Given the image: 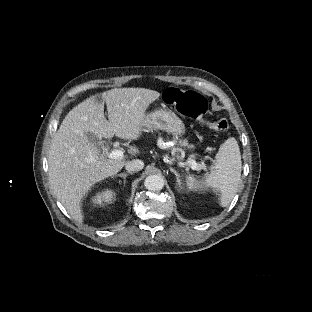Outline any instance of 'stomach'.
Masks as SVG:
<instances>
[{
  "instance_id": "obj_1",
  "label": "stomach",
  "mask_w": 312,
  "mask_h": 312,
  "mask_svg": "<svg viewBox=\"0 0 312 312\" xmlns=\"http://www.w3.org/2000/svg\"><path fill=\"white\" fill-rule=\"evenodd\" d=\"M145 126L166 131L178 140L186 134L184 122L171 110L160 109L147 114Z\"/></svg>"
}]
</instances>
